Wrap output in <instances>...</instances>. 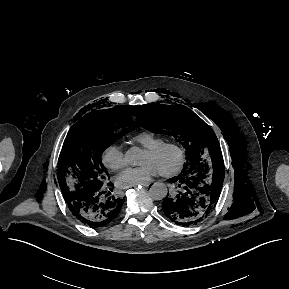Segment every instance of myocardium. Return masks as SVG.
Listing matches in <instances>:
<instances>
[{"label": "myocardium", "mask_w": 289, "mask_h": 289, "mask_svg": "<svg viewBox=\"0 0 289 289\" xmlns=\"http://www.w3.org/2000/svg\"><path fill=\"white\" fill-rule=\"evenodd\" d=\"M167 149H174L178 152L179 155L178 162L173 168L165 171H160L161 175L170 177L180 173L185 166L187 160V153L184 146L176 141H164L156 146L147 148L146 152L152 155H159Z\"/></svg>", "instance_id": "obj_1"}]
</instances>
